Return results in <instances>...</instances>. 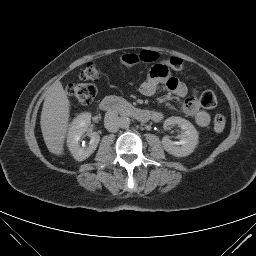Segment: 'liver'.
Returning <instances> with one entry per match:
<instances>
[{
	"instance_id": "1",
	"label": "liver",
	"mask_w": 256,
	"mask_h": 256,
	"mask_svg": "<svg viewBox=\"0 0 256 256\" xmlns=\"http://www.w3.org/2000/svg\"><path fill=\"white\" fill-rule=\"evenodd\" d=\"M70 101L60 81L49 89L41 112V131L48 150L63 155L64 142L69 126Z\"/></svg>"
}]
</instances>
